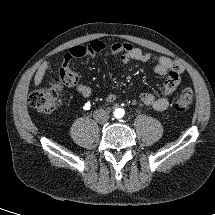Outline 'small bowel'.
Returning a JSON list of instances; mask_svg holds the SVG:
<instances>
[{"instance_id": "obj_1", "label": "small bowel", "mask_w": 215, "mask_h": 215, "mask_svg": "<svg viewBox=\"0 0 215 215\" xmlns=\"http://www.w3.org/2000/svg\"><path fill=\"white\" fill-rule=\"evenodd\" d=\"M105 49H110L113 53L119 54L118 62L120 66L132 67L135 61L151 62L154 64L153 69L157 74L158 80L156 85L171 92L179 82L182 69L179 65L174 64L171 60L163 56H156L151 52L144 51L128 43H111L106 44L102 41H92L88 46H75L65 55L61 62L64 69V77L69 82L71 88L75 89L82 100H86L92 94V89L79 83L78 78L69 70V66L79 61L81 67L87 71L93 79L99 74V69L92 65L89 57L97 55ZM99 90V89H98ZM136 90L139 96L157 110H165L172 105L175 96H168L155 99L152 92L144 86L137 85ZM106 102L116 101L114 94L104 93Z\"/></svg>"}]
</instances>
